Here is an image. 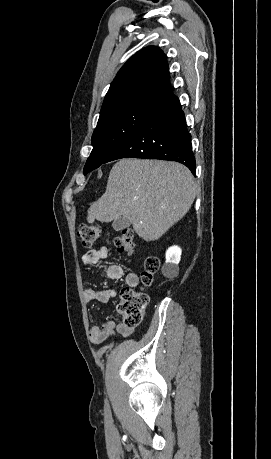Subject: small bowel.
I'll use <instances>...</instances> for the list:
<instances>
[{"label":"small bowel","mask_w":271,"mask_h":459,"mask_svg":"<svg viewBox=\"0 0 271 459\" xmlns=\"http://www.w3.org/2000/svg\"><path fill=\"white\" fill-rule=\"evenodd\" d=\"M109 250L106 247L100 249H91L87 251L82 257V266L88 273L93 272V267L102 259L107 258ZM124 275V270L120 265L111 264L105 270V276L111 280L120 279ZM126 283L129 287L135 288L139 284V277L133 272L125 275ZM118 291L113 287L95 291L93 289H86L84 291V299L86 302H100L107 303L111 299L117 297ZM133 327H128L123 323H116L109 321L100 327H93L89 332L90 340L94 344H101L107 338L111 337L115 331L119 332L123 337H128L134 332Z\"/></svg>","instance_id":"small-bowel-1"}]
</instances>
